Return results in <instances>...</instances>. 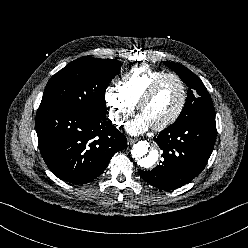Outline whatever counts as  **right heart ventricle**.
<instances>
[{
	"label": "right heart ventricle",
	"mask_w": 248,
	"mask_h": 248,
	"mask_svg": "<svg viewBox=\"0 0 248 248\" xmlns=\"http://www.w3.org/2000/svg\"><path fill=\"white\" fill-rule=\"evenodd\" d=\"M163 73L165 72L148 65L136 66L124 74L121 87L126 96L136 105L152 81Z\"/></svg>",
	"instance_id": "right-heart-ventricle-1"
}]
</instances>
